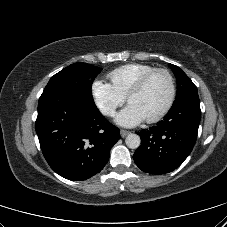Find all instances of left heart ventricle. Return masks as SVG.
I'll return each mask as SVG.
<instances>
[{"mask_svg":"<svg viewBox=\"0 0 227 227\" xmlns=\"http://www.w3.org/2000/svg\"><path fill=\"white\" fill-rule=\"evenodd\" d=\"M170 85L164 73L153 75L142 90L132 95L129 103L134 105L145 119L157 114L167 103Z\"/></svg>","mask_w":227,"mask_h":227,"instance_id":"b2bd125f","label":"left heart ventricle"}]
</instances>
